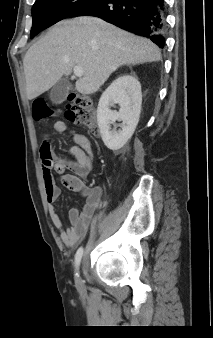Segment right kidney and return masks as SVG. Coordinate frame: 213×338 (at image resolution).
I'll return each instance as SVG.
<instances>
[{
    "mask_svg": "<svg viewBox=\"0 0 213 338\" xmlns=\"http://www.w3.org/2000/svg\"><path fill=\"white\" fill-rule=\"evenodd\" d=\"M141 103V85L132 75L117 78L103 92L97 108V122L107 148L118 150L132 137L139 122ZM114 104H119V112L110 109ZM116 120L123 122L122 130H110V124Z\"/></svg>",
    "mask_w": 213,
    "mask_h": 338,
    "instance_id": "obj_1",
    "label": "right kidney"
}]
</instances>
